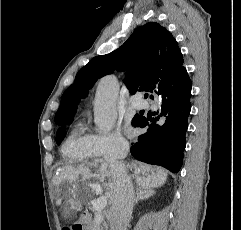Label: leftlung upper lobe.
Wrapping results in <instances>:
<instances>
[{
	"instance_id": "left-lung-upper-lobe-1",
	"label": "left lung upper lobe",
	"mask_w": 241,
	"mask_h": 230,
	"mask_svg": "<svg viewBox=\"0 0 241 230\" xmlns=\"http://www.w3.org/2000/svg\"><path fill=\"white\" fill-rule=\"evenodd\" d=\"M65 134H66V132H65V130L63 128H60L58 130L57 139H56L58 144H60L61 140L65 137Z\"/></svg>"
}]
</instances>
